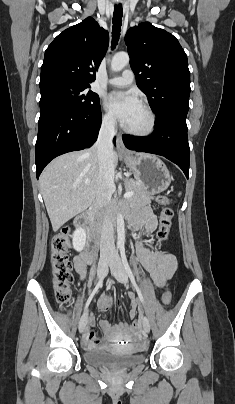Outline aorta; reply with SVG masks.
Returning a JSON list of instances; mask_svg holds the SVG:
<instances>
[{
    "mask_svg": "<svg viewBox=\"0 0 235 404\" xmlns=\"http://www.w3.org/2000/svg\"><path fill=\"white\" fill-rule=\"evenodd\" d=\"M129 55L126 52L116 53L111 61L112 71H121L129 63ZM117 234H118V245H123L125 241V226L124 219L121 213L117 216Z\"/></svg>",
    "mask_w": 235,
    "mask_h": 404,
    "instance_id": "obj_1",
    "label": "aorta"
}]
</instances>
